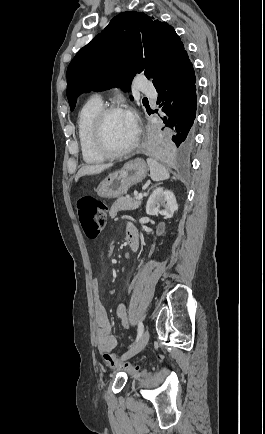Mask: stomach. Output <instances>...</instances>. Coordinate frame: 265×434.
<instances>
[{"instance_id": "0dacf381", "label": "stomach", "mask_w": 265, "mask_h": 434, "mask_svg": "<svg viewBox=\"0 0 265 434\" xmlns=\"http://www.w3.org/2000/svg\"><path fill=\"white\" fill-rule=\"evenodd\" d=\"M148 172L147 164L141 158L127 162L121 170L109 174L105 180L100 182L96 192L101 198H120L127 194L129 188L139 184L146 178Z\"/></svg>"}]
</instances>
